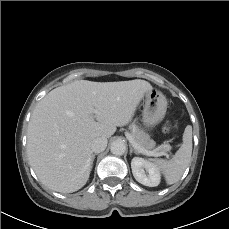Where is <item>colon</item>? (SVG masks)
<instances>
[{"mask_svg":"<svg viewBox=\"0 0 229 229\" xmlns=\"http://www.w3.org/2000/svg\"><path fill=\"white\" fill-rule=\"evenodd\" d=\"M172 128H173V125L171 123H166L163 126L162 130H163V132L168 133L172 130Z\"/></svg>","mask_w":229,"mask_h":229,"instance_id":"5ec220e1","label":"colon"}]
</instances>
